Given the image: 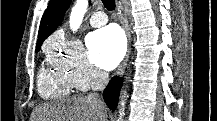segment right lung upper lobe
Masks as SVG:
<instances>
[{
	"instance_id": "obj_1",
	"label": "right lung upper lobe",
	"mask_w": 217,
	"mask_h": 121,
	"mask_svg": "<svg viewBox=\"0 0 217 121\" xmlns=\"http://www.w3.org/2000/svg\"><path fill=\"white\" fill-rule=\"evenodd\" d=\"M70 0H50L45 10L38 32L36 50H39L44 40L54 32L61 23Z\"/></svg>"
}]
</instances>
